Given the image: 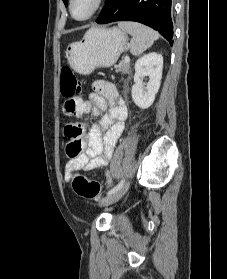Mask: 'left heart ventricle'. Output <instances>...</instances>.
<instances>
[{
    "label": "left heart ventricle",
    "instance_id": "obj_1",
    "mask_svg": "<svg viewBox=\"0 0 227 279\" xmlns=\"http://www.w3.org/2000/svg\"><path fill=\"white\" fill-rule=\"evenodd\" d=\"M93 0H74L72 11L76 18L85 17L92 9Z\"/></svg>",
    "mask_w": 227,
    "mask_h": 279
}]
</instances>
